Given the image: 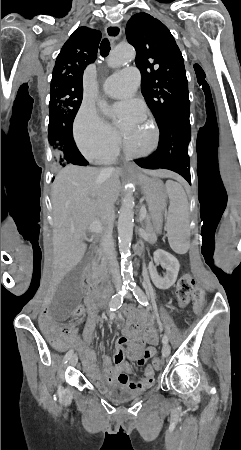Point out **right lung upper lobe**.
Segmentation results:
<instances>
[{"instance_id":"1","label":"right lung upper lobe","mask_w":241,"mask_h":450,"mask_svg":"<svg viewBox=\"0 0 241 450\" xmlns=\"http://www.w3.org/2000/svg\"><path fill=\"white\" fill-rule=\"evenodd\" d=\"M101 33L87 27L77 28L63 45L55 62L51 86L67 84L83 88L86 66L95 61Z\"/></svg>"}]
</instances>
